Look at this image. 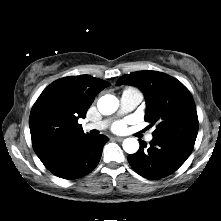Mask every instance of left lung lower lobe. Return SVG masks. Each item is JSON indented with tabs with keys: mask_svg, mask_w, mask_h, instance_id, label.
<instances>
[{
	"mask_svg": "<svg viewBox=\"0 0 221 221\" xmlns=\"http://www.w3.org/2000/svg\"><path fill=\"white\" fill-rule=\"evenodd\" d=\"M140 141V148L128 156L131 167L141 176L159 179L176 171L191 154L194 144L181 138L153 137L150 146Z\"/></svg>",
	"mask_w": 221,
	"mask_h": 221,
	"instance_id": "0a47b994",
	"label": "left lung lower lobe"
}]
</instances>
